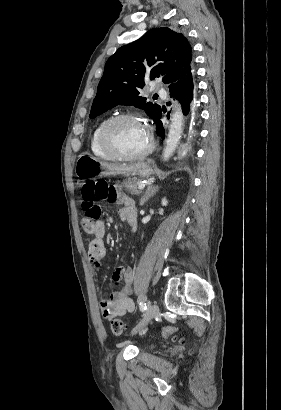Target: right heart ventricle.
Listing matches in <instances>:
<instances>
[{
    "label": "right heart ventricle",
    "mask_w": 281,
    "mask_h": 410,
    "mask_svg": "<svg viewBox=\"0 0 281 410\" xmlns=\"http://www.w3.org/2000/svg\"><path fill=\"white\" fill-rule=\"evenodd\" d=\"M111 119V117H105L102 120H100L95 128L92 131L90 141H89V146L92 154L100 159L104 160H112L113 158L108 155L101 147L100 145V133L105 126V124Z\"/></svg>",
    "instance_id": "obj_1"
}]
</instances>
